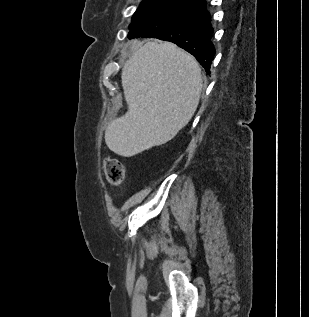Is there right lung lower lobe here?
<instances>
[{"mask_svg": "<svg viewBox=\"0 0 309 317\" xmlns=\"http://www.w3.org/2000/svg\"><path fill=\"white\" fill-rule=\"evenodd\" d=\"M212 33L205 0H177L138 20L128 38L171 41L194 55L209 74L215 56Z\"/></svg>", "mask_w": 309, "mask_h": 317, "instance_id": "obj_1", "label": "right lung lower lobe"}]
</instances>
